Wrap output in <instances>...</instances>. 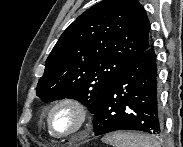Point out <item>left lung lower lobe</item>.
Returning <instances> with one entry per match:
<instances>
[{
	"label": "left lung lower lobe",
	"mask_w": 183,
	"mask_h": 147,
	"mask_svg": "<svg viewBox=\"0 0 183 147\" xmlns=\"http://www.w3.org/2000/svg\"><path fill=\"white\" fill-rule=\"evenodd\" d=\"M95 135L136 130L158 135L163 124L158 109L157 64L149 47L115 78L94 112Z\"/></svg>",
	"instance_id": "1"
}]
</instances>
